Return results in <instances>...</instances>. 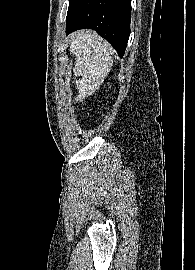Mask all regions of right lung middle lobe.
I'll list each match as a JSON object with an SVG mask.
<instances>
[{
  "label": "right lung middle lobe",
  "instance_id": "right-lung-middle-lobe-1",
  "mask_svg": "<svg viewBox=\"0 0 195 270\" xmlns=\"http://www.w3.org/2000/svg\"><path fill=\"white\" fill-rule=\"evenodd\" d=\"M73 1H74V0H70V1H69V6H70V4H71Z\"/></svg>",
  "mask_w": 195,
  "mask_h": 270
}]
</instances>
